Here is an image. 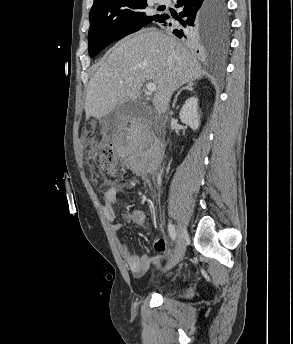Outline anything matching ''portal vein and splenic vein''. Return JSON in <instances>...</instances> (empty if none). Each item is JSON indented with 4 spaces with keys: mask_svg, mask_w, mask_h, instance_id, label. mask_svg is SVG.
<instances>
[{
    "mask_svg": "<svg viewBox=\"0 0 293 344\" xmlns=\"http://www.w3.org/2000/svg\"><path fill=\"white\" fill-rule=\"evenodd\" d=\"M146 89L149 93H152V92H155L157 88L154 83H148L146 84Z\"/></svg>",
    "mask_w": 293,
    "mask_h": 344,
    "instance_id": "18ae733b",
    "label": "portal vein and splenic vein"
}]
</instances>
